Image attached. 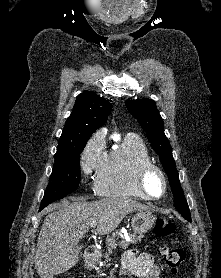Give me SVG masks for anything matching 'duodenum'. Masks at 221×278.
Listing matches in <instances>:
<instances>
[{
    "mask_svg": "<svg viewBox=\"0 0 221 278\" xmlns=\"http://www.w3.org/2000/svg\"><path fill=\"white\" fill-rule=\"evenodd\" d=\"M98 249L94 245H89L85 249V258L88 263H93L95 259L98 258Z\"/></svg>",
    "mask_w": 221,
    "mask_h": 278,
    "instance_id": "410a0bca",
    "label": "duodenum"
}]
</instances>
